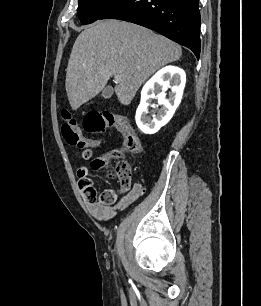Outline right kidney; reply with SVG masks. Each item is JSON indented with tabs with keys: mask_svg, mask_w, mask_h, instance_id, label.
<instances>
[{
	"mask_svg": "<svg viewBox=\"0 0 261 306\" xmlns=\"http://www.w3.org/2000/svg\"><path fill=\"white\" fill-rule=\"evenodd\" d=\"M186 83L185 72L176 66H166L159 70L143 87L141 102L136 111V124L145 134H154L172 118L179 106ZM171 89L166 99L167 89ZM155 93H158V103L163 105L157 116L153 119L146 116L148 106Z\"/></svg>",
	"mask_w": 261,
	"mask_h": 306,
	"instance_id": "right-kidney-1",
	"label": "right kidney"
}]
</instances>
